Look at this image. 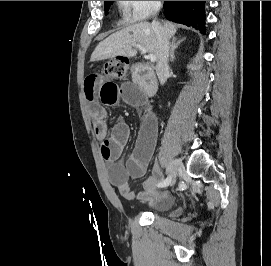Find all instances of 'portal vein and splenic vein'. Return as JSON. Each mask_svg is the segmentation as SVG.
Wrapping results in <instances>:
<instances>
[{
  "mask_svg": "<svg viewBox=\"0 0 271 266\" xmlns=\"http://www.w3.org/2000/svg\"><path fill=\"white\" fill-rule=\"evenodd\" d=\"M134 47L138 48L143 54H145L147 52L146 48L142 45H133ZM147 58L151 61V62H155L156 61V56L153 54H148Z\"/></svg>",
  "mask_w": 271,
  "mask_h": 266,
  "instance_id": "1",
  "label": "portal vein and splenic vein"
}]
</instances>
